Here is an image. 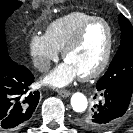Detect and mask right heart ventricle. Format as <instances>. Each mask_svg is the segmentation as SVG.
Masks as SVG:
<instances>
[{
    "mask_svg": "<svg viewBox=\"0 0 133 133\" xmlns=\"http://www.w3.org/2000/svg\"><path fill=\"white\" fill-rule=\"evenodd\" d=\"M92 17L94 16L80 11L68 13L51 22L45 36L56 50L61 51L78 29Z\"/></svg>",
    "mask_w": 133,
    "mask_h": 133,
    "instance_id": "right-heart-ventricle-1",
    "label": "right heart ventricle"
}]
</instances>
